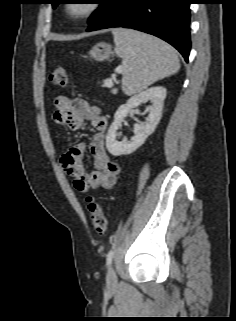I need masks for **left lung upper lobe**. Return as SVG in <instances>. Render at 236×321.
I'll list each match as a JSON object with an SVG mask.
<instances>
[{"mask_svg": "<svg viewBox=\"0 0 236 321\" xmlns=\"http://www.w3.org/2000/svg\"><path fill=\"white\" fill-rule=\"evenodd\" d=\"M59 0H51V4L53 5V8H55L59 3L57 2ZM98 4H100V7L91 15L89 18L88 23L90 24L93 20H95L101 13H103L110 5L112 0H96Z\"/></svg>", "mask_w": 236, "mask_h": 321, "instance_id": "1", "label": "left lung upper lobe"}]
</instances>
